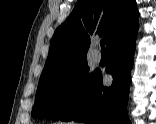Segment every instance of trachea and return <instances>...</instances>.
<instances>
[{
  "label": "trachea",
  "instance_id": "1",
  "mask_svg": "<svg viewBox=\"0 0 156 124\" xmlns=\"http://www.w3.org/2000/svg\"><path fill=\"white\" fill-rule=\"evenodd\" d=\"M105 39H102L101 41H100V45H101V49L102 50H105Z\"/></svg>",
  "mask_w": 156,
  "mask_h": 124
}]
</instances>
